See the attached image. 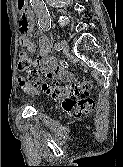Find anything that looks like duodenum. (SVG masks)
<instances>
[{
  "label": "duodenum",
  "mask_w": 123,
  "mask_h": 167,
  "mask_svg": "<svg viewBox=\"0 0 123 167\" xmlns=\"http://www.w3.org/2000/svg\"><path fill=\"white\" fill-rule=\"evenodd\" d=\"M30 13V15H31V17H32V13L31 12H29Z\"/></svg>",
  "instance_id": "410a0bca"
}]
</instances>
